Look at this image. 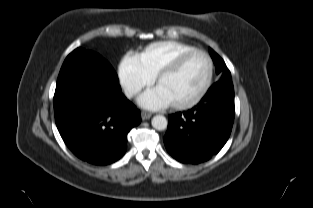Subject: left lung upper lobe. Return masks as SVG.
Returning a JSON list of instances; mask_svg holds the SVG:
<instances>
[{"label": "left lung upper lobe", "mask_w": 313, "mask_h": 208, "mask_svg": "<svg viewBox=\"0 0 313 208\" xmlns=\"http://www.w3.org/2000/svg\"><path fill=\"white\" fill-rule=\"evenodd\" d=\"M210 53L215 63L216 73L221 76L219 81L231 80V73L229 69L227 68L226 64L224 63V61L222 60V58L217 53H215L212 49H210Z\"/></svg>", "instance_id": "left-lung-upper-lobe-1"}]
</instances>
